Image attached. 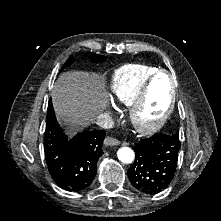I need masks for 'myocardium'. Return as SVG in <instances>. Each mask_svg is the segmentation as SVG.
<instances>
[{"label":"myocardium","instance_id":"myocardium-1","mask_svg":"<svg viewBox=\"0 0 221 221\" xmlns=\"http://www.w3.org/2000/svg\"><path fill=\"white\" fill-rule=\"evenodd\" d=\"M161 74H166L171 82V94H170L169 105L166 111L164 112V114L155 122L151 123L141 122L138 119V115L147 101L148 94L152 84L154 83L155 79ZM175 102H176V90H175V82L173 75L166 69L156 70L152 74V76L148 79V81L140 88L136 98L130 105V118L133 127L142 134H151L158 131L169 119L174 109Z\"/></svg>","mask_w":221,"mask_h":221}]
</instances>
